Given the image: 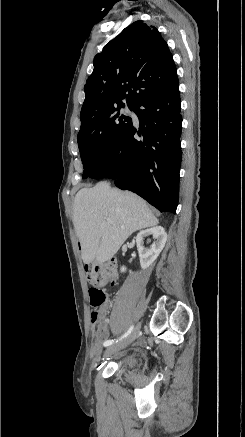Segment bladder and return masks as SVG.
Listing matches in <instances>:
<instances>
[{
	"label": "bladder",
	"mask_w": 245,
	"mask_h": 437,
	"mask_svg": "<svg viewBox=\"0 0 245 437\" xmlns=\"http://www.w3.org/2000/svg\"><path fill=\"white\" fill-rule=\"evenodd\" d=\"M137 363L138 357L136 355H127L118 362V366L120 369L129 370L134 368Z\"/></svg>",
	"instance_id": "31cf9c89"
}]
</instances>
